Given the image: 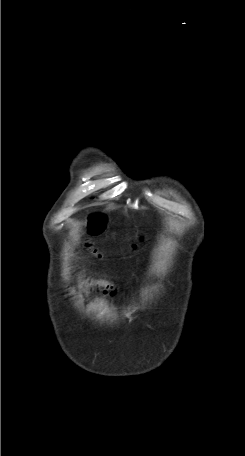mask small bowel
Here are the masks:
<instances>
[{
    "mask_svg": "<svg viewBox=\"0 0 245 456\" xmlns=\"http://www.w3.org/2000/svg\"><path fill=\"white\" fill-rule=\"evenodd\" d=\"M107 224V217L100 212L91 214L87 220V233L89 236H96L101 234ZM88 246H91L90 242H87ZM96 288H101L105 294L114 295L116 293L115 286L107 281H99L96 283Z\"/></svg>",
    "mask_w": 245,
    "mask_h": 456,
    "instance_id": "c3829d8e",
    "label": "small bowel"
}]
</instances>
